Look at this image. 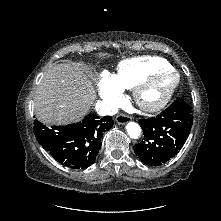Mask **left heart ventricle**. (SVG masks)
I'll return each instance as SVG.
<instances>
[{
  "label": "left heart ventricle",
  "mask_w": 221,
  "mask_h": 221,
  "mask_svg": "<svg viewBox=\"0 0 221 221\" xmlns=\"http://www.w3.org/2000/svg\"><path fill=\"white\" fill-rule=\"evenodd\" d=\"M169 80L164 79L161 82L157 83L154 87H152L147 93H146V99L149 101H154L160 98L164 92L166 91L168 85H169Z\"/></svg>",
  "instance_id": "1"
}]
</instances>
